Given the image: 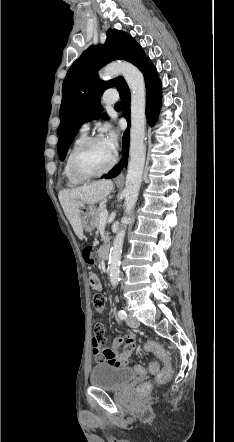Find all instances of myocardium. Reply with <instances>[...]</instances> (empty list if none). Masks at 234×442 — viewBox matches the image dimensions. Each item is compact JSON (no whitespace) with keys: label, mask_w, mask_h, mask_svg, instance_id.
Listing matches in <instances>:
<instances>
[{"label":"myocardium","mask_w":234,"mask_h":442,"mask_svg":"<svg viewBox=\"0 0 234 442\" xmlns=\"http://www.w3.org/2000/svg\"><path fill=\"white\" fill-rule=\"evenodd\" d=\"M103 140V138L102 137H100V136H91V137H87L82 143H80L77 147H76V149L73 151V153H72V155H71V158H70V167H71V170H72V172H73V174L77 177V178H79V179H82V180H89V179H93V178H98V177H101V176H103V175H105V174H107L108 172H110L112 169H113V167L115 166V164H116V161H117V157H116V155L115 154H113V157H112V159H111V162L109 163V165L105 168V169H103V170H101V171H99V172H95V173H89V172H85V171H83L80 167H79V165H78V158H79V156L90 146V145H92L93 143H96V142H99V141H102Z\"/></svg>","instance_id":"f54148a6"}]
</instances>
